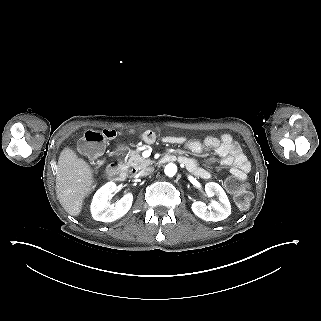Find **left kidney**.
Wrapping results in <instances>:
<instances>
[{
	"label": "left kidney",
	"instance_id": "5707ae66",
	"mask_svg": "<svg viewBox=\"0 0 321 321\" xmlns=\"http://www.w3.org/2000/svg\"><path fill=\"white\" fill-rule=\"evenodd\" d=\"M205 192L209 197L216 195L219 201L212 200L209 206L201 201L194 202L191 207L194 214L205 221L217 222L226 219L231 214V204L224 189L218 183L208 182Z\"/></svg>",
	"mask_w": 321,
	"mask_h": 321
}]
</instances>
